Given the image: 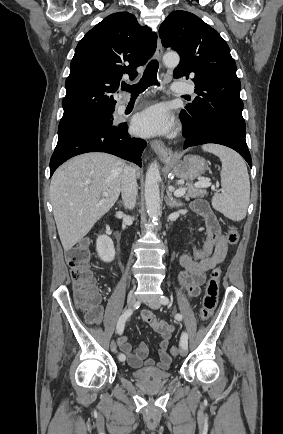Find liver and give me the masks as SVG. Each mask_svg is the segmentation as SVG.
Masks as SVG:
<instances>
[{"label": "liver", "mask_w": 283, "mask_h": 434, "mask_svg": "<svg viewBox=\"0 0 283 434\" xmlns=\"http://www.w3.org/2000/svg\"><path fill=\"white\" fill-rule=\"evenodd\" d=\"M125 167L118 157L94 152L76 156L55 171L50 200L65 251L78 243L118 200Z\"/></svg>", "instance_id": "1"}]
</instances>
